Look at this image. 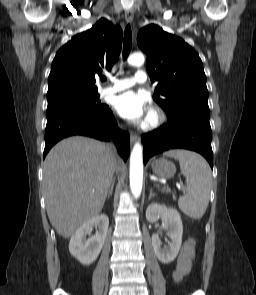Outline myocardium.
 I'll return each instance as SVG.
<instances>
[{"label":"myocardium","mask_w":256,"mask_h":295,"mask_svg":"<svg viewBox=\"0 0 256 295\" xmlns=\"http://www.w3.org/2000/svg\"><path fill=\"white\" fill-rule=\"evenodd\" d=\"M165 120V115L164 113L157 109L153 108L149 115L147 120L145 121L143 128L146 130H151L159 127Z\"/></svg>","instance_id":"myocardium-1"}]
</instances>
